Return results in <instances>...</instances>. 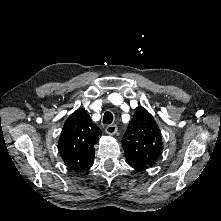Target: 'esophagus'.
I'll use <instances>...</instances> for the list:
<instances>
[{"instance_id":"esophagus-1","label":"esophagus","mask_w":221,"mask_h":221,"mask_svg":"<svg viewBox=\"0 0 221 221\" xmlns=\"http://www.w3.org/2000/svg\"><path fill=\"white\" fill-rule=\"evenodd\" d=\"M105 132L109 135H113L117 132V127L115 125H109L106 127Z\"/></svg>"}]
</instances>
